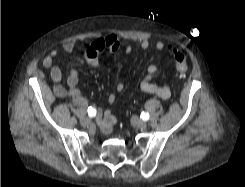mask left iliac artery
I'll return each mask as SVG.
<instances>
[{
    "mask_svg": "<svg viewBox=\"0 0 245 187\" xmlns=\"http://www.w3.org/2000/svg\"><path fill=\"white\" fill-rule=\"evenodd\" d=\"M141 118H142L143 120H148V119H149V114L146 113V112H142V113H141Z\"/></svg>",
    "mask_w": 245,
    "mask_h": 187,
    "instance_id": "1",
    "label": "left iliac artery"
}]
</instances>
